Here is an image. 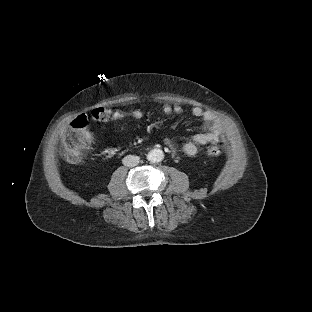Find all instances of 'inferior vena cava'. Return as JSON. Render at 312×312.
<instances>
[{
  "label": "inferior vena cava",
  "mask_w": 312,
  "mask_h": 312,
  "mask_svg": "<svg viewBox=\"0 0 312 312\" xmlns=\"http://www.w3.org/2000/svg\"><path fill=\"white\" fill-rule=\"evenodd\" d=\"M123 162L125 166L134 167L140 163V157L136 155H129L124 158Z\"/></svg>",
  "instance_id": "1"
}]
</instances>
